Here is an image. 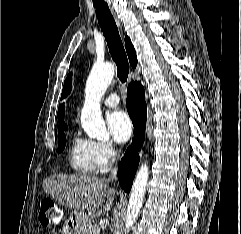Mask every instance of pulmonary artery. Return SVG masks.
<instances>
[{
	"instance_id": "1",
	"label": "pulmonary artery",
	"mask_w": 241,
	"mask_h": 234,
	"mask_svg": "<svg viewBox=\"0 0 241 234\" xmlns=\"http://www.w3.org/2000/svg\"><path fill=\"white\" fill-rule=\"evenodd\" d=\"M119 104V96L115 93H112L106 96L103 100V105L109 108L116 107Z\"/></svg>"
}]
</instances>
